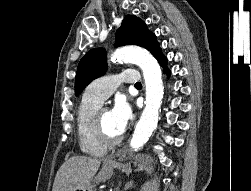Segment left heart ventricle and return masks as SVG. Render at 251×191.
Here are the masks:
<instances>
[{"label":"left heart ventricle","mask_w":251,"mask_h":191,"mask_svg":"<svg viewBox=\"0 0 251 191\" xmlns=\"http://www.w3.org/2000/svg\"><path fill=\"white\" fill-rule=\"evenodd\" d=\"M100 119L102 121V124L104 126V129L106 132L111 136H117L118 134L113 130L110 120V115L107 110H104L100 113Z\"/></svg>","instance_id":"left-heart-ventricle-1"}]
</instances>
